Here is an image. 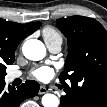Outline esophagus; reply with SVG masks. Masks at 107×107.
I'll list each match as a JSON object with an SVG mask.
<instances>
[{"label": "esophagus", "mask_w": 107, "mask_h": 107, "mask_svg": "<svg viewBox=\"0 0 107 107\" xmlns=\"http://www.w3.org/2000/svg\"><path fill=\"white\" fill-rule=\"evenodd\" d=\"M46 92H47L46 87L41 86L38 93H39L40 95H43V94H45Z\"/></svg>", "instance_id": "34e87169"}]
</instances>
